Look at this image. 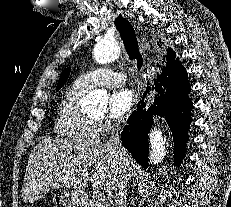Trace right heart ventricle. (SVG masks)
Segmentation results:
<instances>
[{
  "label": "right heart ventricle",
  "mask_w": 231,
  "mask_h": 207,
  "mask_svg": "<svg viewBox=\"0 0 231 207\" xmlns=\"http://www.w3.org/2000/svg\"><path fill=\"white\" fill-rule=\"evenodd\" d=\"M86 90L75 84L66 92L56 115L55 133L70 141H84L94 138L98 124L85 115L80 108V99Z\"/></svg>",
  "instance_id": "right-heart-ventricle-1"
}]
</instances>
